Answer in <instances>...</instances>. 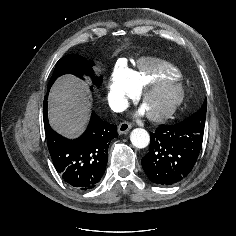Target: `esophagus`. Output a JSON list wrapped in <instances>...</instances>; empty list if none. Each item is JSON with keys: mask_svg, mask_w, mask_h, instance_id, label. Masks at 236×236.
<instances>
[{"mask_svg": "<svg viewBox=\"0 0 236 236\" xmlns=\"http://www.w3.org/2000/svg\"><path fill=\"white\" fill-rule=\"evenodd\" d=\"M132 128V125L128 122H122L118 126V133L119 134H126L130 129Z\"/></svg>", "mask_w": 236, "mask_h": 236, "instance_id": "obj_1", "label": "esophagus"}]
</instances>
